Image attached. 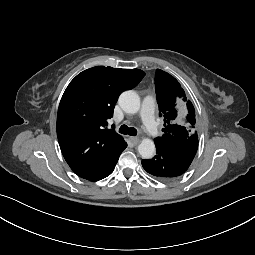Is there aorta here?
Instances as JSON below:
<instances>
[{
	"instance_id": "1",
	"label": "aorta",
	"mask_w": 255,
	"mask_h": 255,
	"mask_svg": "<svg viewBox=\"0 0 255 255\" xmlns=\"http://www.w3.org/2000/svg\"><path fill=\"white\" fill-rule=\"evenodd\" d=\"M119 105L123 111L135 114L140 109V98L133 90L124 91L119 97ZM155 144L151 139L145 138L138 146V152L144 159H151L155 155Z\"/></svg>"
}]
</instances>
